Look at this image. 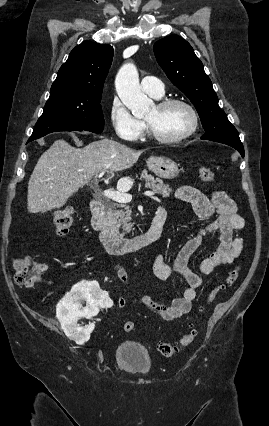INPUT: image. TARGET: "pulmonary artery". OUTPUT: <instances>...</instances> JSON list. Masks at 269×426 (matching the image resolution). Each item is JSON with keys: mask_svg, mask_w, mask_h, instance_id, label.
Wrapping results in <instances>:
<instances>
[{"mask_svg": "<svg viewBox=\"0 0 269 426\" xmlns=\"http://www.w3.org/2000/svg\"><path fill=\"white\" fill-rule=\"evenodd\" d=\"M142 89L154 98H161L164 95V85L161 80L153 76H145L141 79Z\"/></svg>", "mask_w": 269, "mask_h": 426, "instance_id": "e3ab8cb5", "label": "pulmonary artery"}]
</instances>
